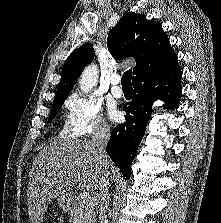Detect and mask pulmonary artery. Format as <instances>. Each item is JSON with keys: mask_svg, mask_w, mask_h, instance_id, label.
Masks as SVG:
<instances>
[{"mask_svg": "<svg viewBox=\"0 0 221 223\" xmlns=\"http://www.w3.org/2000/svg\"><path fill=\"white\" fill-rule=\"evenodd\" d=\"M121 82V76L115 75L111 80V92L115 97H121L123 90L120 88L119 83Z\"/></svg>", "mask_w": 221, "mask_h": 223, "instance_id": "1", "label": "pulmonary artery"}]
</instances>
